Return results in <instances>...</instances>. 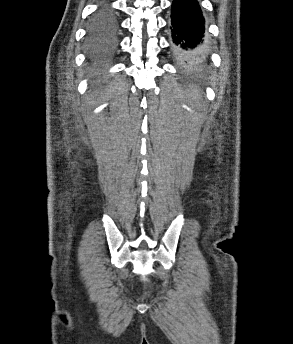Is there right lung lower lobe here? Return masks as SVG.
I'll use <instances>...</instances> for the list:
<instances>
[{"label":"right lung lower lobe","instance_id":"obj_1","mask_svg":"<svg viewBox=\"0 0 293 344\" xmlns=\"http://www.w3.org/2000/svg\"><path fill=\"white\" fill-rule=\"evenodd\" d=\"M116 29H117L116 21L114 20V26H113V28L110 31V38H109L108 46H111L113 44V42H114V37H115V34H116Z\"/></svg>","mask_w":293,"mask_h":344}]
</instances>
